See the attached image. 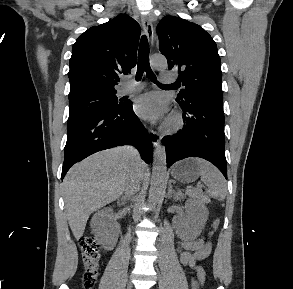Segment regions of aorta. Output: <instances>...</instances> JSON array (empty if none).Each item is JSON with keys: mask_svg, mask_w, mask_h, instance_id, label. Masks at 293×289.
<instances>
[{"mask_svg": "<svg viewBox=\"0 0 293 289\" xmlns=\"http://www.w3.org/2000/svg\"><path fill=\"white\" fill-rule=\"evenodd\" d=\"M150 64L154 68H166L167 61L163 57H153ZM149 202L155 205L162 193L166 182V151L164 145L157 143L154 150Z\"/></svg>", "mask_w": 293, "mask_h": 289, "instance_id": "obj_1", "label": "aorta"}]
</instances>
